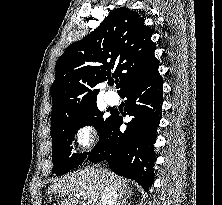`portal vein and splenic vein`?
I'll return each instance as SVG.
<instances>
[{"label":"portal vein and splenic vein","mask_w":222,"mask_h":205,"mask_svg":"<svg viewBox=\"0 0 222 205\" xmlns=\"http://www.w3.org/2000/svg\"><path fill=\"white\" fill-rule=\"evenodd\" d=\"M84 194H81V196H83ZM83 205H86V204H83Z\"/></svg>","instance_id":"1"}]
</instances>
